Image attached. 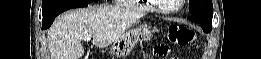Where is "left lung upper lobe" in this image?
<instances>
[{
	"instance_id": "1",
	"label": "left lung upper lobe",
	"mask_w": 261,
	"mask_h": 59,
	"mask_svg": "<svg viewBox=\"0 0 261 59\" xmlns=\"http://www.w3.org/2000/svg\"><path fill=\"white\" fill-rule=\"evenodd\" d=\"M189 11L194 17L212 21L213 4L211 0H190Z\"/></svg>"
}]
</instances>
